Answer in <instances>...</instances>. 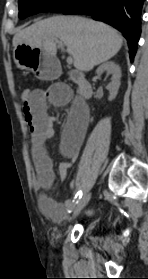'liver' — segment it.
Returning <instances> with one entry per match:
<instances>
[{
    "label": "liver",
    "instance_id": "obj_1",
    "mask_svg": "<svg viewBox=\"0 0 148 279\" xmlns=\"http://www.w3.org/2000/svg\"><path fill=\"white\" fill-rule=\"evenodd\" d=\"M56 40L74 59V67L88 72L121 49L122 37L112 27L83 17L56 16L38 21L13 37V46L27 45L56 57Z\"/></svg>",
    "mask_w": 148,
    "mask_h": 279
}]
</instances>
